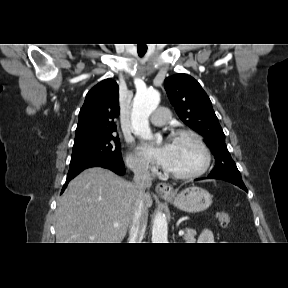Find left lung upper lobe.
<instances>
[{"instance_id": "5c2ea615", "label": "left lung upper lobe", "mask_w": 288, "mask_h": 288, "mask_svg": "<svg viewBox=\"0 0 288 288\" xmlns=\"http://www.w3.org/2000/svg\"><path fill=\"white\" fill-rule=\"evenodd\" d=\"M165 90L180 119L204 136L215 157V167L209 174L216 179L242 181L240 172L227 149L225 135L212 103L193 77L176 74L164 81Z\"/></svg>"}]
</instances>
